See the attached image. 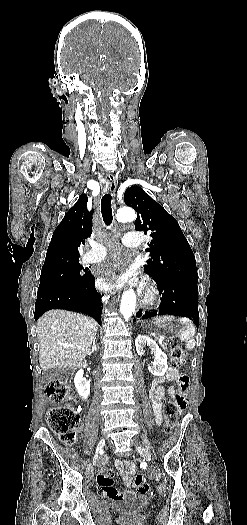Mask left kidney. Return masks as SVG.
I'll return each mask as SVG.
<instances>
[{
	"instance_id": "left-kidney-1",
	"label": "left kidney",
	"mask_w": 247,
	"mask_h": 525,
	"mask_svg": "<svg viewBox=\"0 0 247 525\" xmlns=\"http://www.w3.org/2000/svg\"><path fill=\"white\" fill-rule=\"evenodd\" d=\"M145 345L151 349V353H154V363H152L153 367H148L150 373L156 375V377H162L168 369L167 355L159 349L153 339L145 337V335H138L135 339V347L138 355H144L143 349Z\"/></svg>"
}]
</instances>
